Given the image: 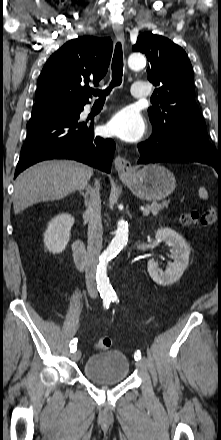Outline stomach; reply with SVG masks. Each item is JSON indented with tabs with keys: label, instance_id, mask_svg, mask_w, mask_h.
Returning <instances> with one entry per match:
<instances>
[{
	"label": "stomach",
	"instance_id": "stomach-1",
	"mask_svg": "<svg viewBox=\"0 0 221 440\" xmlns=\"http://www.w3.org/2000/svg\"><path fill=\"white\" fill-rule=\"evenodd\" d=\"M121 179L135 196L145 201L162 200L176 187L173 173L160 164L132 169L121 175Z\"/></svg>",
	"mask_w": 221,
	"mask_h": 440
}]
</instances>
